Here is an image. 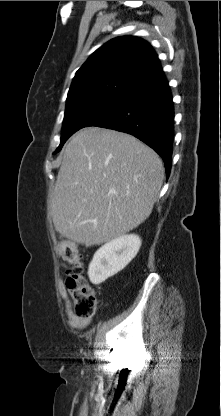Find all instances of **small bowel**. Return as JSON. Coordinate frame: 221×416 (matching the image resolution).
Masks as SVG:
<instances>
[{"label": "small bowel", "instance_id": "1", "mask_svg": "<svg viewBox=\"0 0 221 416\" xmlns=\"http://www.w3.org/2000/svg\"><path fill=\"white\" fill-rule=\"evenodd\" d=\"M64 268H67V267L64 265ZM59 290H60L61 297L65 303V312L68 317L69 325L77 329H82L86 327L90 323L91 318H79L74 315L72 308H71V301L69 299L68 290L62 280H60V283H59Z\"/></svg>", "mask_w": 221, "mask_h": 416}]
</instances>
